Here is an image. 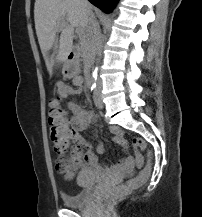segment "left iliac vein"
Segmentation results:
<instances>
[{
  "mask_svg": "<svg viewBox=\"0 0 202 217\" xmlns=\"http://www.w3.org/2000/svg\"><path fill=\"white\" fill-rule=\"evenodd\" d=\"M94 103L99 109L103 108V102H102V99L100 97L99 89H96V91L94 93Z\"/></svg>",
  "mask_w": 202,
  "mask_h": 217,
  "instance_id": "left-iliac-vein-1",
  "label": "left iliac vein"
}]
</instances>
